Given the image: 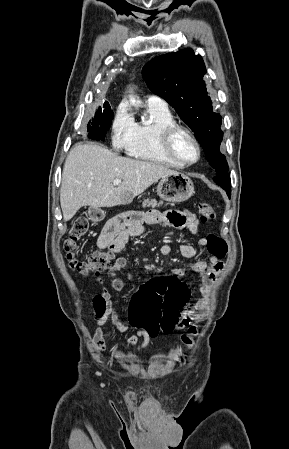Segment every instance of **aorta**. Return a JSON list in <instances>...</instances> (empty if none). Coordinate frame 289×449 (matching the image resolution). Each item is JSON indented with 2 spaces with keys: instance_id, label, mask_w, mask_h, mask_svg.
<instances>
[{
  "instance_id": "aorta-1",
  "label": "aorta",
  "mask_w": 289,
  "mask_h": 449,
  "mask_svg": "<svg viewBox=\"0 0 289 449\" xmlns=\"http://www.w3.org/2000/svg\"><path fill=\"white\" fill-rule=\"evenodd\" d=\"M130 102L134 105V106H137L138 105V102H136L134 99H130Z\"/></svg>"
}]
</instances>
